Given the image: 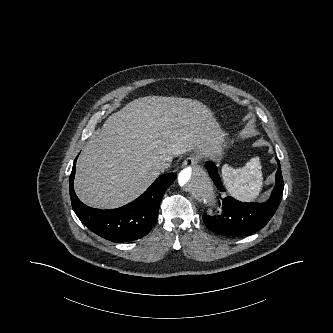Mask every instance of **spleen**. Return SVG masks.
<instances>
[{
    "label": "spleen",
    "instance_id": "1",
    "mask_svg": "<svg viewBox=\"0 0 333 333\" xmlns=\"http://www.w3.org/2000/svg\"><path fill=\"white\" fill-rule=\"evenodd\" d=\"M222 178L228 192L237 200L251 202L257 199L263 185L260 158H252L243 168L234 169L225 165Z\"/></svg>",
    "mask_w": 333,
    "mask_h": 333
}]
</instances>
